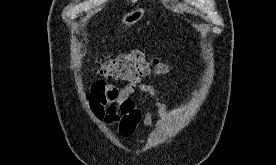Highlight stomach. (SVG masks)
<instances>
[{"mask_svg": "<svg viewBox=\"0 0 276 165\" xmlns=\"http://www.w3.org/2000/svg\"><path fill=\"white\" fill-rule=\"evenodd\" d=\"M145 10L142 8H136L134 10H132L131 12L127 13L123 19H122V23L130 26L133 25L135 23H137L144 15Z\"/></svg>", "mask_w": 276, "mask_h": 165, "instance_id": "1", "label": "stomach"}]
</instances>
